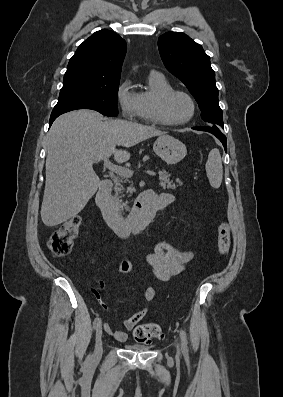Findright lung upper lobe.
Wrapping results in <instances>:
<instances>
[{"mask_svg": "<svg viewBox=\"0 0 283 397\" xmlns=\"http://www.w3.org/2000/svg\"><path fill=\"white\" fill-rule=\"evenodd\" d=\"M126 48L125 40L115 32L107 29L97 31L80 44L71 57L65 74L120 78Z\"/></svg>", "mask_w": 283, "mask_h": 397, "instance_id": "right-lung-upper-lobe-1", "label": "right lung upper lobe"}]
</instances>
